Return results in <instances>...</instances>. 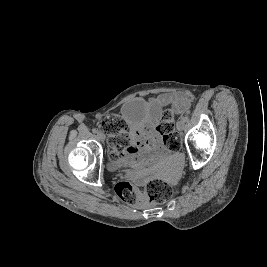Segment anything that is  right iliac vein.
I'll use <instances>...</instances> for the list:
<instances>
[{"label": "right iliac vein", "mask_w": 267, "mask_h": 267, "mask_svg": "<svg viewBox=\"0 0 267 267\" xmlns=\"http://www.w3.org/2000/svg\"><path fill=\"white\" fill-rule=\"evenodd\" d=\"M97 137L101 141H104L105 140V134L103 132H98Z\"/></svg>", "instance_id": "obj_1"}]
</instances>
